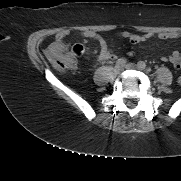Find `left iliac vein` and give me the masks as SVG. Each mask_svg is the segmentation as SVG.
Returning a JSON list of instances; mask_svg holds the SVG:
<instances>
[{"label": "left iliac vein", "mask_w": 181, "mask_h": 181, "mask_svg": "<svg viewBox=\"0 0 181 181\" xmlns=\"http://www.w3.org/2000/svg\"><path fill=\"white\" fill-rule=\"evenodd\" d=\"M126 69H140L137 65L133 64V63H128L125 66Z\"/></svg>", "instance_id": "obj_1"}]
</instances>
